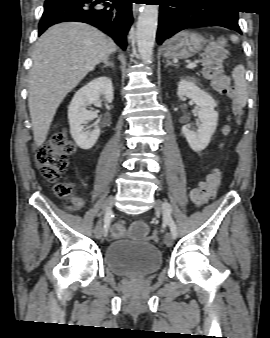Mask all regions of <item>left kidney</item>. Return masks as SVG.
<instances>
[{
    "instance_id": "obj_1",
    "label": "left kidney",
    "mask_w": 270,
    "mask_h": 338,
    "mask_svg": "<svg viewBox=\"0 0 270 338\" xmlns=\"http://www.w3.org/2000/svg\"><path fill=\"white\" fill-rule=\"evenodd\" d=\"M177 95L192 99L199 107V128L191 130L189 125H184L182 133L191 149L195 152H200L208 146L217 127L218 112L215 111L216 102L210 94L201 90L194 82L186 79L179 81Z\"/></svg>"
}]
</instances>
